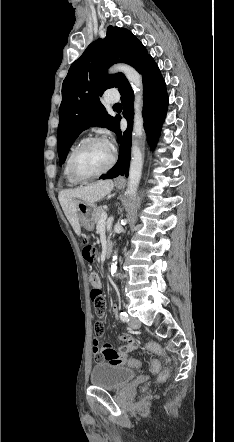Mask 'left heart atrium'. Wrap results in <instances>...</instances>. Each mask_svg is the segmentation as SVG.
Here are the masks:
<instances>
[{
	"instance_id": "1",
	"label": "left heart atrium",
	"mask_w": 234,
	"mask_h": 442,
	"mask_svg": "<svg viewBox=\"0 0 234 442\" xmlns=\"http://www.w3.org/2000/svg\"><path fill=\"white\" fill-rule=\"evenodd\" d=\"M106 143L108 144V146L111 148V150L113 149V147H114V139H113V137L111 136V137H109V139H107L106 140Z\"/></svg>"
}]
</instances>
